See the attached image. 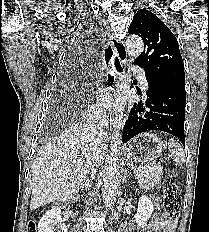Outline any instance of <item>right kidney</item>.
<instances>
[{"instance_id":"1","label":"right kidney","mask_w":209,"mask_h":232,"mask_svg":"<svg viewBox=\"0 0 209 232\" xmlns=\"http://www.w3.org/2000/svg\"><path fill=\"white\" fill-rule=\"evenodd\" d=\"M61 210L58 207L47 211L38 223V232H55V226L60 229L57 232H67L68 229L65 224L60 223Z\"/></svg>"}]
</instances>
